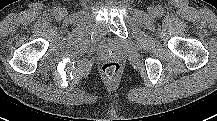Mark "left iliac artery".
Masks as SVG:
<instances>
[{
	"label": "left iliac artery",
	"mask_w": 217,
	"mask_h": 121,
	"mask_svg": "<svg viewBox=\"0 0 217 121\" xmlns=\"http://www.w3.org/2000/svg\"><path fill=\"white\" fill-rule=\"evenodd\" d=\"M162 12H163L162 8H158V9H157V14H158V15L162 14Z\"/></svg>",
	"instance_id": "left-iliac-artery-1"
}]
</instances>
